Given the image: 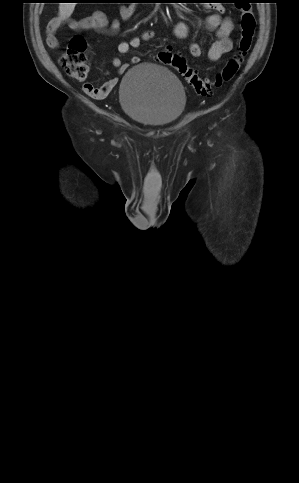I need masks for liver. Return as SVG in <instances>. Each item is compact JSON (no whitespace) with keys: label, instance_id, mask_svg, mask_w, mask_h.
<instances>
[{"label":"liver","instance_id":"6515ba94","mask_svg":"<svg viewBox=\"0 0 299 483\" xmlns=\"http://www.w3.org/2000/svg\"><path fill=\"white\" fill-rule=\"evenodd\" d=\"M75 7V3H60L59 5V18L65 20L71 16Z\"/></svg>","mask_w":299,"mask_h":483}]
</instances>
